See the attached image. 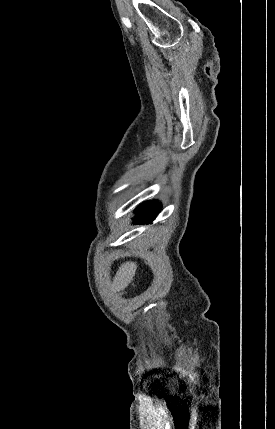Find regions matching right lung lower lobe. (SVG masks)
Instances as JSON below:
<instances>
[{
	"mask_svg": "<svg viewBox=\"0 0 275 429\" xmlns=\"http://www.w3.org/2000/svg\"><path fill=\"white\" fill-rule=\"evenodd\" d=\"M160 210L161 208L156 201H148L141 204L135 210V213L138 214V216L134 219L136 221L135 224H145L152 222L155 218V215H157Z\"/></svg>",
	"mask_w": 275,
	"mask_h": 429,
	"instance_id": "obj_1",
	"label": "right lung lower lobe"
}]
</instances>
